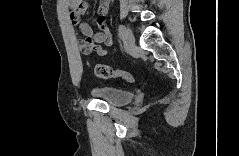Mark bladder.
Here are the masks:
<instances>
[{
	"label": "bladder",
	"instance_id": "31cf9c89",
	"mask_svg": "<svg viewBox=\"0 0 239 156\" xmlns=\"http://www.w3.org/2000/svg\"><path fill=\"white\" fill-rule=\"evenodd\" d=\"M91 95L114 107L127 105L134 98V93L131 90L113 87L92 88Z\"/></svg>",
	"mask_w": 239,
	"mask_h": 156
}]
</instances>
